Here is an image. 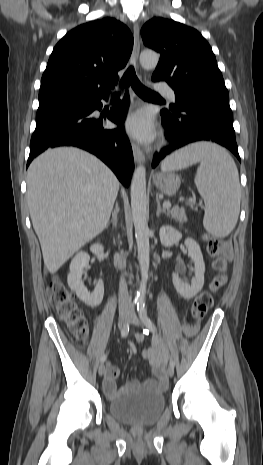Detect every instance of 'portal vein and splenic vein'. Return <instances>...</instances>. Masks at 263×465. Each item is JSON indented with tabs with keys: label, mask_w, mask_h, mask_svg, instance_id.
I'll return each instance as SVG.
<instances>
[{
	"label": "portal vein and splenic vein",
	"mask_w": 263,
	"mask_h": 465,
	"mask_svg": "<svg viewBox=\"0 0 263 465\" xmlns=\"http://www.w3.org/2000/svg\"><path fill=\"white\" fill-rule=\"evenodd\" d=\"M193 204H194V202L192 201L190 203V205L193 206ZM163 207L166 208V209H170L171 208V203L170 202H164Z\"/></svg>",
	"instance_id": "18ae733b"
}]
</instances>
